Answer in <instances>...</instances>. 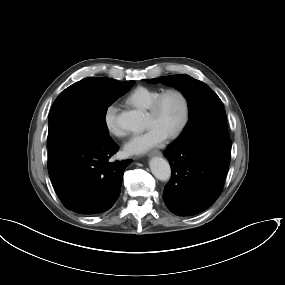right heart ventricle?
Returning a JSON list of instances; mask_svg holds the SVG:
<instances>
[{
    "instance_id": "right-heart-ventricle-1",
    "label": "right heart ventricle",
    "mask_w": 285,
    "mask_h": 285,
    "mask_svg": "<svg viewBox=\"0 0 285 285\" xmlns=\"http://www.w3.org/2000/svg\"><path fill=\"white\" fill-rule=\"evenodd\" d=\"M161 93L160 89L138 86L125 98V101L137 108L148 109L154 99Z\"/></svg>"
}]
</instances>
